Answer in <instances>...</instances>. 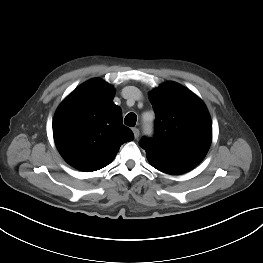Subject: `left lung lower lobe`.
I'll use <instances>...</instances> for the list:
<instances>
[{"label": "left lung lower lobe", "mask_w": 263, "mask_h": 263, "mask_svg": "<svg viewBox=\"0 0 263 263\" xmlns=\"http://www.w3.org/2000/svg\"><path fill=\"white\" fill-rule=\"evenodd\" d=\"M149 163L161 172L167 174H181L193 169L196 165L191 163L173 162L160 159L154 155L146 154Z\"/></svg>", "instance_id": "1"}]
</instances>
